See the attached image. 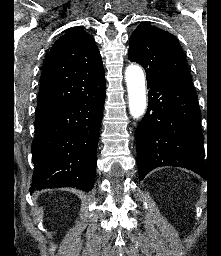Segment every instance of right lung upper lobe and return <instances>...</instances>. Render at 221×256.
Wrapping results in <instances>:
<instances>
[{
  "instance_id": "1",
  "label": "right lung upper lobe",
  "mask_w": 221,
  "mask_h": 256,
  "mask_svg": "<svg viewBox=\"0 0 221 256\" xmlns=\"http://www.w3.org/2000/svg\"><path fill=\"white\" fill-rule=\"evenodd\" d=\"M42 70L36 114L105 88L100 52L80 27L71 28L54 43Z\"/></svg>"
}]
</instances>
